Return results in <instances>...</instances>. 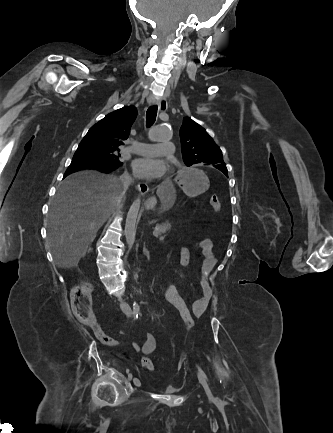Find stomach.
Listing matches in <instances>:
<instances>
[{"mask_svg": "<svg viewBox=\"0 0 333 433\" xmlns=\"http://www.w3.org/2000/svg\"><path fill=\"white\" fill-rule=\"evenodd\" d=\"M175 183H180L184 193L190 197L203 194L209 188L206 169H180L174 176ZM155 200L147 202L148 208H153Z\"/></svg>", "mask_w": 333, "mask_h": 433, "instance_id": "0dacf381", "label": "stomach"}]
</instances>
